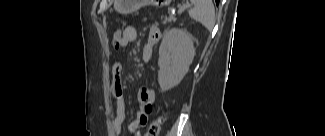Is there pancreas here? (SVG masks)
Segmentation results:
<instances>
[{"mask_svg":"<svg viewBox=\"0 0 325 136\" xmlns=\"http://www.w3.org/2000/svg\"><path fill=\"white\" fill-rule=\"evenodd\" d=\"M166 19H168L169 21L171 20V19H175V16H170V14H169V12H164L163 13V18H161V23H166Z\"/></svg>","mask_w":325,"mask_h":136,"instance_id":"cf45deb5","label":"pancreas"}]
</instances>
